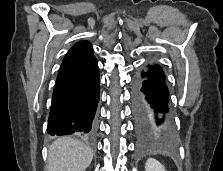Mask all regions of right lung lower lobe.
<instances>
[{
    "label": "right lung lower lobe",
    "mask_w": 223,
    "mask_h": 171,
    "mask_svg": "<svg viewBox=\"0 0 223 171\" xmlns=\"http://www.w3.org/2000/svg\"><path fill=\"white\" fill-rule=\"evenodd\" d=\"M99 92V68L95 58L58 74L47 132L50 135H74L91 141Z\"/></svg>",
    "instance_id": "right-lung-lower-lobe-1"
}]
</instances>
